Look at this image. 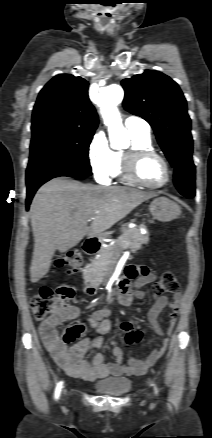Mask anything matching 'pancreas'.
<instances>
[{"label":"pancreas","instance_id":"obj_1","mask_svg":"<svg viewBox=\"0 0 212 438\" xmlns=\"http://www.w3.org/2000/svg\"><path fill=\"white\" fill-rule=\"evenodd\" d=\"M149 237L143 235L138 229H128L111 246L103 247L99 256L91 260V263L84 270V279L90 281L93 275L99 271L106 274L121 256V251L130 249L136 252L142 248L143 244H148Z\"/></svg>","mask_w":212,"mask_h":438}]
</instances>
